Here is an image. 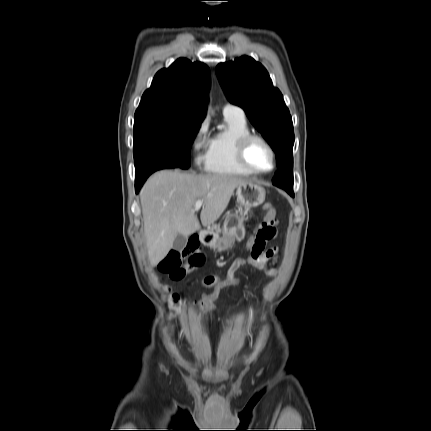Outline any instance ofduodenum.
<instances>
[{"mask_svg": "<svg viewBox=\"0 0 431 431\" xmlns=\"http://www.w3.org/2000/svg\"><path fill=\"white\" fill-rule=\"evenodd\" d=\"M207 237V233L203 230L197 231L195 234L191 237V242L195 243L198 241H203Z\"/></svg>", "mask_w": 431, "mask_h": 431, "instance_id": "obj_1", "label": "duodenum"}]
</instances>
